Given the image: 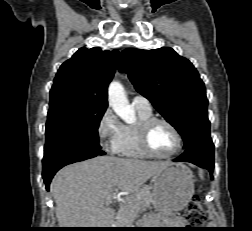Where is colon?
<instances>
[{
  "label": "colon",
  "instance_id": "obj_1",
  "mask_svg": "<svg viewBox=\"0 0 252 231\" xmlns=\"http://www.w3.org/2000/svg\"><path fill=\"white\" fill-rule=\"evenodd\" d=\"M186 221L191 227L201 226L205 222V214L198 196H194L187 205Z\"/></svg>",
  "mask_w": 252,
  "mask_h": 231
}]
</instances>
